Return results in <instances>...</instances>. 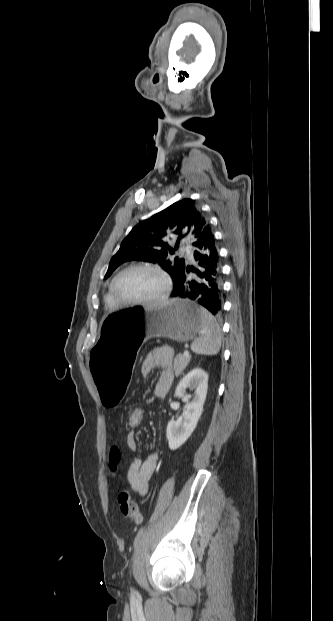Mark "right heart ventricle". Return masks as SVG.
<instances>
[{
    "mask_svg": "<svg viewBox=\"0 0 333 621\" xmlns=\"http://www.w3.org/2000/svg\"><path fill=\"white\" fill-rule=\"evenodd\" d=\"M105 304L108 308H116L118 307L117 303L115 302L114 298L112 297L111 291H110V287L108 289V291L105 294Z\"/></svg>",
    "mask_w": 333,
    "mask_h": 621,
    "instance_id": "right-heart-ventricle-1",
    "label": "right heart ventricle"
}]
</instances>
